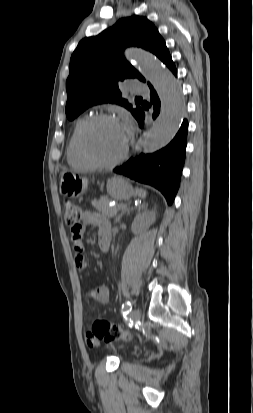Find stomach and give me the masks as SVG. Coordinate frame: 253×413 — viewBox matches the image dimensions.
Segmentation results:
<instances>
[{"label":"stomach","mask_w":253,"mask_h":413,"mask_svg":"<svg viewBox=\"0 0 253 413\" xmlns=\"http://www.w3.org/2000/svg\"><path fill=\"white\" fill-rule=\"evenodd\" d=\"M87 187L88 181L86 178L69 172L61 174L60 193L63 196L77 198L87 190ZM107 192L115 200H128L135 193L130 183L119 176L108 180Z\"/></svg>","instance_id":"0dacf381"}]
</instances>
